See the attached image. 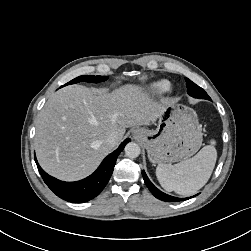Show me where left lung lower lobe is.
Returning a JSON list of instances; mask_svg holds the SVG:
<instances>
[{"mask_svg":"<svg viewBox=\"0 0 251 251\" xmlns=\"http://www.w3.org/2000/svg\"><path fill=\"white\" fill-rule=\"evenodd\" d=\"M142 175H143V179H144V182L145 184L147 185V187L149 188V190L152 192V194L160 199V200H163V201H166V202H178V201H182L184 199H181V198H177V197H173V196H170V195H167L163 192H161L159 189H157L152 183L151 181L149 180V178L147 177L145 171H142ZM185 199H188V198H185Z\"/></svg>","mask_w":251,"mask_h":251,"instance_id":"0a47b994","label":"left lung lower lobe"}]
</instances>
